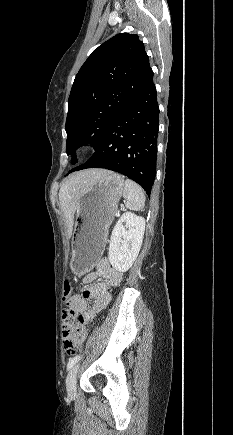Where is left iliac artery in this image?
<instances>
[{"instance_id": "left-iliac-artery-1", "label": "left iliac artery", "mask_w": 233, "mask_h": 435, "mask_svg": "<svg viewBox=\"0 0 233 435\" xmlns=\"http://www.w3.org/2000/svg\"><path fill=\"white\" fill-rule=\"evenodd\" d=\"M80 359V356H75L73 358L69 359V362L67 364V370L71 369V367Z\"/></svg>"}]
</instances>
